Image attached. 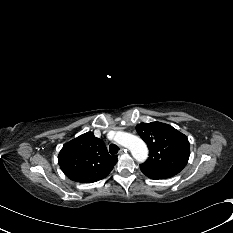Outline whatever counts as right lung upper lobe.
I'll return each mask as SVG.
<instances>
[{"instance_id":"obj_1","label":"right lung upper lobe","mask_w":233,"mask_h":233,"mask_svg":"<svg viewBox=\"0 0 233 233\" xmlns=\"http://www.w3.org/2000/svg\"><path fill=\"white\" fill-rule=\"evenodd\" d=\"M59 165L71 180L92 183L105 178L117 162L104 142L87 132L66 143L58 156Z\"/></svg>"}]
</instances>
